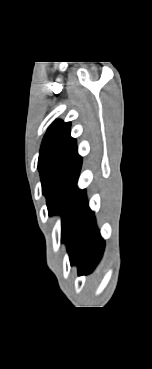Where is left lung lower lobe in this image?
Returning a JSON list of instances; mask_svg holds the SVG:
<instances>
[{"label":"left lung lower lobe","mask_w":152,"mask_h":369,"mask_svg":"<svg viewBox=\"0 0 152 369\" xmlns=\"http://www.w3.org/2000/svg\"><path fill=\"white\" fill-rule=\"evenodd\" d=\"M63 241L70 263L78 266L79 274L91 272L102 257L104 240L96 227L94 213L88 207L85 190L78 195Z\"/></svg>","instance_id":"obj_1"}]
</instances>
